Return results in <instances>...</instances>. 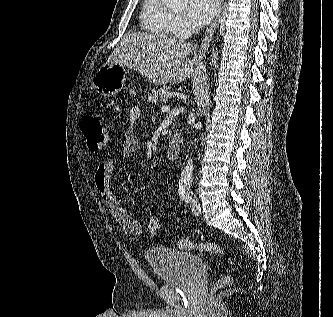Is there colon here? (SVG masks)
Instances as JSON below:
<instances>
[{
  "instance_id": "colon-1",
  "label": "colon",
  "mask_w": 333,
  "mask_h": 317,
  "mask_svg": "<svg viewBox=\"0 0 333 317\" xmlns=\"http://www.w3.org/2000/svg\"><path fill=\"white\" fill-rule=\"evenodd\" d=\"M81 130L85 136L89 149L98 151L105 148L109 142V136L101 120L96 115H88L81 122ZM160 227V218L152 217L149 220L148 228L152 236L156 235ZM177 246L183 250H196L200 252L213 253L221 258L225 257V252L220 246L210 242H194L187 239H179ZM231 284V278L225 276L218 282L219 287Z\"/></svg>"
}]
</instances>
